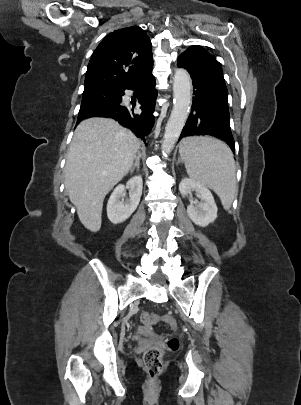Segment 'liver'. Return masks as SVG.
I'll list each match as a JSON object with an SVG mask.
<instances>
[{"label":"liver","mask_w":301,"mask_h":405,"mask_svg":"<svg viewBox=\"0 0 301 405\" xmlns=\"http://www.w3.org/2000/svg\"><path fill=\"white\" fill-rule=\"evenodd\" d=\"M139 139L115 120L89 118L75 129L66 158L65 188L81 223L101 227L103 201L131 170Z\"/></svg>","instance_id":"liver-1"}]
</instances>
